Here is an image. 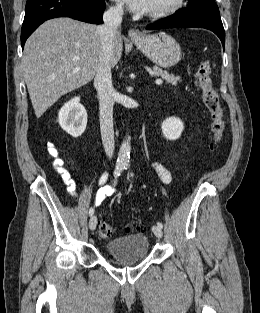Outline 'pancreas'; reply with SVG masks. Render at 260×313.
Here are the masks:
<instances>
[{"mask_svg": "<svg viewBox=\"0 0 260 313\" xmlns=\"http://www.w3.org/2000/svg\"><path fill=\"white\" fill-rule=\"evenodd\" d=\"M152 72L156 75V76H160L162 77L167 84H171L172 86H177L178 81H180V77H176L173 74H169L168 71H164L161 68L158 67H153Z\"/></svg>", "mask_w": 260, "mask_h": 313, "instance_id": "pancreas-1", "label": "pancreas"}]
</instances>
